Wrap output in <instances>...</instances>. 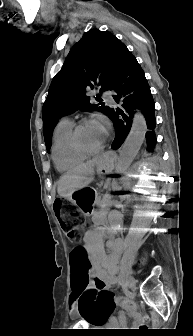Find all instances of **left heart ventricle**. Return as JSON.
Returning <instances> with one entry per match:
<instances>
[{
	"mask_svg": "<svg viewBox=\"0 0 193 336\" xmlns=\"http://www.w3.org/2000/svg\"><path fill=\"white\" fill-rule=\"evenodd\" d=\"M104 137L105 134L91 123L86 125L79 133L81 143L89 149L98 147L104 140Z\"/></svg>",
	"mask_w": 193,
	"mask_h": 336,
	"instance_id": "left-heart-ventricle-1",
	"label": "left heart ventricle"
}]
</instances>
